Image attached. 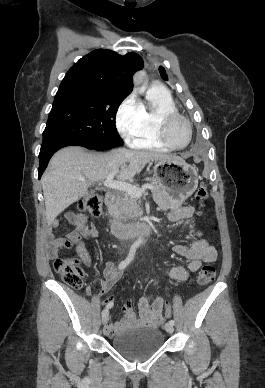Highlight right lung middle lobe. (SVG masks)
<instances>
[{
    "label": "right lung middle lobe",
    "mask_w": 265,
    "mask_h": 388,
    "mask_svg": "<svg viewBox=\"0 0 265 388\" xmlns=\"http://www.w3.org/2000/svg\"><path fill=\"white\" fill-rule=\"evenodd\" d=\"M127 96L113 91L57 93L43 132L42 144L71 138L96 149L123 145L115 126V116Z\"/></svg>",
    "instance_id": "right-lung-middle-lobe-1"
}]
</instances>
